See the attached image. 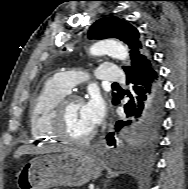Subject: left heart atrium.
Returning <instances> with one entry per match:
<instances>
[{"label":"left heart atrium","instance_id":"39dd6f15","mask_svg":"<svg viewBox=\"0 0 188 189\" xmlns=\"http://www.w3.org/2000/svg\"><path fill=\"white\" fill-rule=\"evenodd\" d=\"M86 117L93 127L98 126L105 116V104L101 96L92 93L87 102L84 103Z\"/></svg>","mask_w":188,"mask_h":189}]
</instances>
